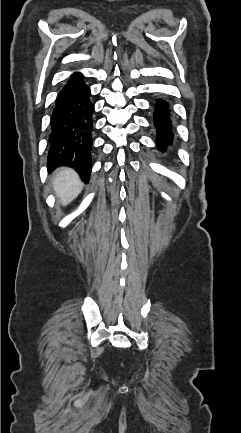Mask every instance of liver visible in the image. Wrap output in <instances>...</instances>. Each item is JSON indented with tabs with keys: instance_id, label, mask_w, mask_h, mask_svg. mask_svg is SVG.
<instances>
[{
	"instance_id": "obj_1",
	"label": "liver",
	"mask_w": 241,
	"mask_h": 433,
	"mask_svg": "<svg viewBox=\"0 0 241 433\" xmlns=\"http://www.w3.org/2000/svg\"><path fill=\"white\" fill-rule=\"evenodd\" d=\"M53 189L63 206L71 203L82 191L83 183L70 168L58 169L52 179Z\"/></svg>"
}]
</instances>
